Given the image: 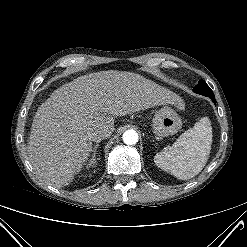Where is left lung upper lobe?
Returning a JSON list of instances; mask_svg holds the SVG:
<instances>
[{
  "mask_svg": "<svg viewBox=\"0 0 247 247\" xmlns=\"http://www.w3.org/2000/svg\"><path fill=\"white\" fill-rule=\"evenodd\" d=\"M194 92L201 94V95H204V96H207V97H213L214 96L210 87L203 80L199 81V83L194 88Z\"/></svg>",
  "mask_w": 247,
  "mask_h": 247,
  "instance_id": "obj_1",
  "label": "left lung upper lobe"
}]
</instances>
